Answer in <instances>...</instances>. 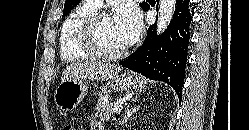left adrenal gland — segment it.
Wrapping results in <instances>:
<instances>
[{"label": "left adrenal gland", "instance_id": "a2214340", "mask_svg": "<svg viewBox=\"0 0 249 130\" xmlns=\"http://www.w3.org/2000/svg\"><path fill=\"white\" fill-rule=\"evenodd\" d=\"M137 98H134L133 101H136ZM140 109V106L137 107H131V105H127L126 107V112L124 114V116L119 120L118 124L116 125V128L118 129L120 125L124 124L125 122H127V120L129 118H131V116L136 113L138 110Z\"/></svg>", "mask_w": 249, "mask_h": 130}]
</instances>
